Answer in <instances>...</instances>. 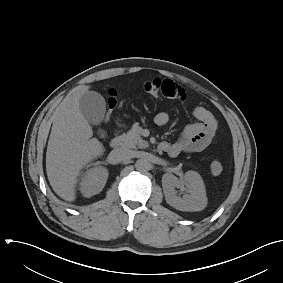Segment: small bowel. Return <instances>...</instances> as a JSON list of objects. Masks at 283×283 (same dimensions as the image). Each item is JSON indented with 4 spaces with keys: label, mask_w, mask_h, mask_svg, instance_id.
I'll return each mask as SVG.
<instances>
[{
    "label": "small bowel",
    "mask_w": 283,
    "mask_h": 283,
    "mask_svg": "<svg viewBox=\"0 0 283 283\" xmlns=\"http://www.w3.org/2000/svg\"><path fill=\"white\" fill-rule=\"evenodd\" d=\"M167 98L184 101L187 97L185 90L170 79L162 80L161 93ZM193 117L196 122L188 125L182 131L180 138L173 143H161V150L171 156H177L182 152H200L209 147L215 140L218 124L213 114L204 107H195ZM169 116L166 112H159L154 118L158 126L168 123Z\"/></svg>",
    "instance_id": "c3829d8e"
}]
</instances>
